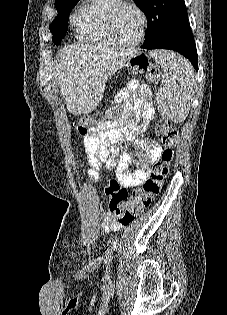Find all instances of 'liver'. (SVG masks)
<instances>
[{"label":"liver","mask_w":227,"mask_h":315,"mask_svg":"<svg viewBox=\"0 0 227 315\" xmlns=\"http://www.w3.org/2000/svg\"><path fill=\"white\" fill-rule=\"evenodd\" d=\"M134 55L102 45H71L62 49L53 73L67 110L89 114L103 98L107 80L128 64Z\"/></svg>","instance_id":"liver-1"}]
</instances>
